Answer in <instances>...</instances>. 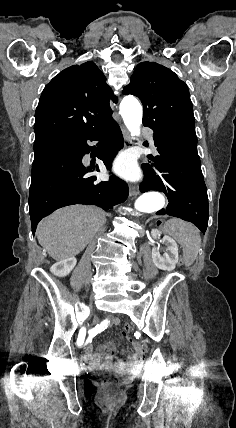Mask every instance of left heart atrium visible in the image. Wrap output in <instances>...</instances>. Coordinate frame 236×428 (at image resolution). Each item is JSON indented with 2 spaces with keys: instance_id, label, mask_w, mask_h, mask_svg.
I'll return each instance as SVG.
<instances>
[{
  "instance_id": "obj_1",
  "label": "left heart atrium",
  "mask_w": 236,
  "mask_h": 428,
  "mask_svg": "<svg viewBox=\"0 0 236 428\" xmlns=\"http://www.w3.org/2000/svg\"><path fill=\"white\" fill-rule=\"evenodd\" d=\"M115 170L118 174L127 178H134L137 175L134 161L127 156L119 157L115 165Z\"/></svg>"
}]
</instances>
